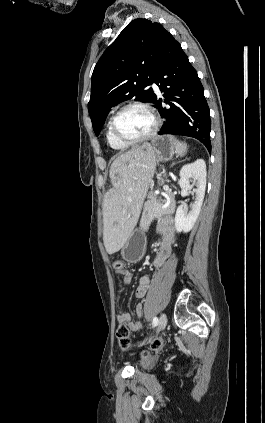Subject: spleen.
I'll return each instance as SVG.
<instances>
[{
	"label": "spleen",
	"mask_w": 265,
	"mask_h": 423,
	"mask_svg": "<svg viewBox=\"0 0 265 423\" xmlns=\"http://www.w3.org/2000/svg\"><path fill=\"white\" fill-rule=\"evenodd\" d=\"M174 141H175L176 153L181 157L184 156L187 152V144L184 143V142L177 141V140H174Z\"/></svg>",
	"instance_id": "spleen-1"
}]
</instances>
